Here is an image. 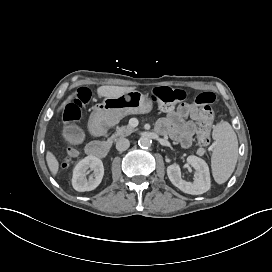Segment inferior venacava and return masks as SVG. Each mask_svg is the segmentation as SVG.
Wrapping results in <instances>:
<instances>
[{"label": "inferior vena cava", "mask_w": 272, "mask_h": 272, "mask_svg": "<svg viewBox=\"0 0 272 272\" xmlns=\"http://www.w3.org/2000/svg\"><path fill=\"white\" fill-rule=\"evenodd\" d=\"M130 143L129 140L126 138H120L116 143V149L118 151H125L129 148Z\"/></svg>", "instance_id": "obj_1"}]
</instances>
